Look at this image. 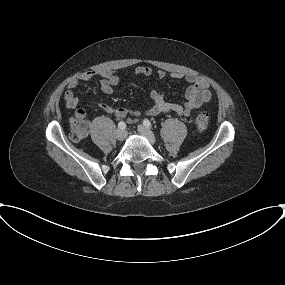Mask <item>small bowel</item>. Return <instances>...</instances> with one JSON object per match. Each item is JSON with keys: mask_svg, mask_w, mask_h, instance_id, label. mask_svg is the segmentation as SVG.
<instances>
[{"mask_svg": "<svg viewBox=\"0 0 285 285\" xmlns=\"http://www.w3.org/2000/svg\"><path fill=\"white\" fill-rule=\"evenodd\" d=\"M153 74V70L148 66H138L134 71L135 76L149 77ZM156 76L160 80H165L168 77L174 79H184L189 83L185 92V103L176 104L170 103L165 100L163 91L152 90L151 98L153 105L145 111L128 110L123 107L114 108L105 103H99V107L106 113L114 115L118 119H124L131 116L129 121H135L142 114L155 116L159 114L176 113L181 116H188L194 110L200 108L203 104L208 102L211 98L209 83L201 76L195 74H185L183 72H173L168 74L163 70H158ZM95 77L100 78V89L103 93L110 95L113 93V88L120 82V75L110 70H92L80 74L78 77L73 78L69 84L68 89L64 94L66 106L70 109H76L74 119H83L86 115L85 110L77 108L79 100L74 93V89L81 83L89 81Z\"/></svg>", "mask_w": 285, "mask_h": 285, "instance_id": "c3829d8e", "label": "small bowel"}]
</instances>
